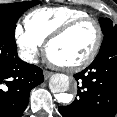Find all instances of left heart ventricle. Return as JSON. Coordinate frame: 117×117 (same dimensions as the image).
I'll return each mask as SVG.
<instances>
[{
	"instance_id": "obj_1",
	"label": "left heart ventricle",
	"mask_w": 117,
	"mask_h": 117,
	"mask_svg": "<svg viewBox=\"0 0 117 117\" xmlns=\"http://www.w3.org/2000/svg\"><path fill=\"white\" fill-rule=\"evenodd\" d=\"M96 37L94 24L91 22L80 24L51 45L49 56L54 62L63 65L80 62L92 51Z\"/></svg>"
}]
</instances>
